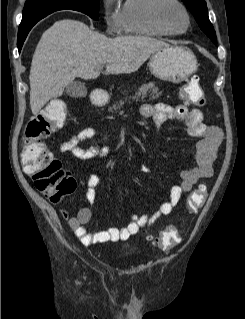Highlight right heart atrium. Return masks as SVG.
<instances>
[{"instance_id":"obj_1","label":"right heart atrium","mask_w":245,"mask_h":319,"mask_svg":"<svg viewBox=\"0 0 245 319\" xmlns=\"http://www.w3.org/2000/svg\"><path fill=\"white\" fill-rule=\"evenodd\" d=\"M102 12L108 33H118L121 30L119 10L114 5V0H102Z\"/></svg>"}]
</instances>
